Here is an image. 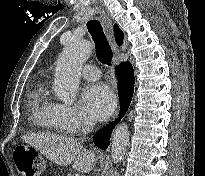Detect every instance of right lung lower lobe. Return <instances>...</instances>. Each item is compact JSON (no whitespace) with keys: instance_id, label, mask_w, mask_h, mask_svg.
<instances>
[{"instance_id":"98d812e1","label":"right lung lower lobe","mask_w":205,"mask_h":176,"mask_svg":"<svg viewBox=\"0 0 205 176\" xmlns=\"http://www.w3.org/2000/svg\"><path fill=\"white\" fill-rule=\"evenodd\" d=\"M116 71L118 74V89L121 98V110L119 117L116 121L98 131L93 137L94 143L103 150H106L109 146V140L113 128L128 110L134 91V71L132 65L129 62H123L116 68Z\"/></svg>"}]
</instances>
